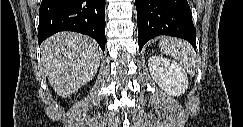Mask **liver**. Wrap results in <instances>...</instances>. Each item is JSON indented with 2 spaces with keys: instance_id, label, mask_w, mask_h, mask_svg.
<instances>
[{
  "instance_id": "1",
  "label": "liver",
  "mask_w": 243,
  "mask_h": 127,
  "mask_svg": "<svg viewBox=\"0 0 243 127\" xmlns=\"http://www.w3.org/2000/svg\"><path fill=\"white\" fill-rule=\"evenodd\" d=\"M101 51L95 40L74 33H57L41 46V62L54 91L70 96L89 82L100 64Z\"/></svg>"
}]
</instances>
